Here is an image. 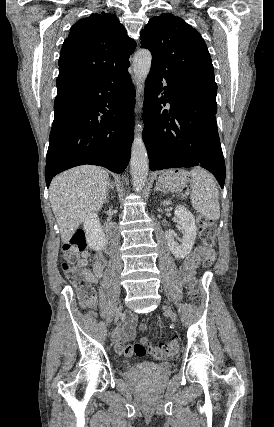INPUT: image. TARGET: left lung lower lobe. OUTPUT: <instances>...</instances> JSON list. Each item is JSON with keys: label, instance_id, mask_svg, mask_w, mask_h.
I'll list each match as a JSON object with an SVG mask.
<instances>
[{"label": "left lung lower lobe", "instance_id": "obj_1", "mask_svg": "<svg viewBox=\"0 0 274 427\" xmlns=\"http://www.w3.org/2000/svg\"><path fill=\"white\" fill-rule=\"evenodd\" d=\"M217 90L182 80L151 65L143 120L151 170L201 166L221 188L225 162L216 123ZM170 104V109L163 106Z\"/></svg>", "mask_w": 274, "mask_h": 427}]
</instances>
